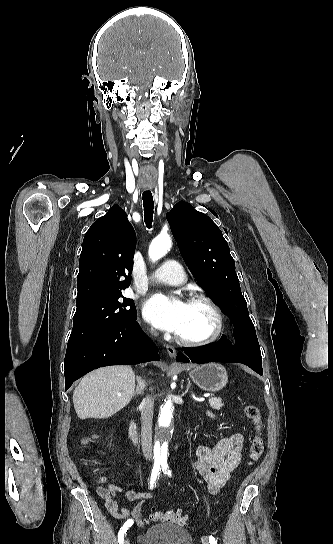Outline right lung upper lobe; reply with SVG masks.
Returning <instances> with one entry per match:
<instances>
[{
	"mask_svg": "<svg viewBox=\"0 0 333 544\" xmlns=\"http://www.w3.org/2000/svg\"><path fill=\"white\" fill-rule=\"evenodd\" d=\"M135 231L118 205L94 222L83 240L77 276V299L123 290L130 285Z\"/></svg>",
	"mask_w": 333,
	"mask_h": 544,
	"instance_id": "obj_1",
	"label": "right lung upper lobe"
}]
</instances>
